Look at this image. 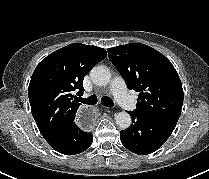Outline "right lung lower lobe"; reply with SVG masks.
Listing matches in <instances>:
<instances>
[{
    "label": "right lung lower lobe",
    "mask_w": 209,
    "mask_h": 179,
    "mask_svg": "<svg viewBox=\"0 0 209 179\" xmlns=\"http://www.w3.org/2000/svg\"><path fill=\"white\" fill-rule=\"evenodd\" d=\"M45 140L57 152L75 155L89 148L93 141V134L84 132L72 120Z\"/></svg>",
    "instance_id": "obj_1"
}]
</instances>
